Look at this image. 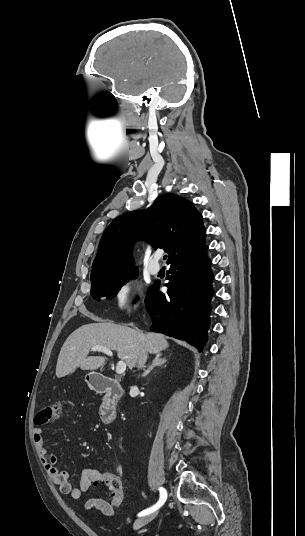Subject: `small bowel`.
I'll return each mask as SVG.
<instances>
[{
	"label": "small bowel",
	"instance_id": "c3829d8e",
	"mask_svg": "<svg viewBox=\"0 0 305 536\" xmlns=\"http://www.w3.org/2000/svg\"><path fill=\"white\" fill-rule=\"evenodd\" d=\"M33 440L42 466L52 481L58 486L62 494L68 495L72 499L77 500L84 493H86L91 486L96 487L97 479L95 477V469L93 468L84 469L78 486L72 487L69 482V472L60 469L57 466L58 458L48 452L45 446L43 429L33 430ZM84 508L86 510L96 509L108 517H113L116 512L113 504L101 497L88 498L84 502Z\"/></svg>",
	"mask_w": 305,
	"mask_h": 536
}]
</instances>
